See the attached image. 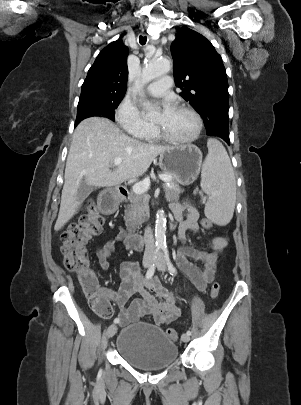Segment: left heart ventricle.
Wrapping results in <instances>:
<instances>
[{
  "mask_svg": "<svg viewBox=\"0 0 301 405\" xmlns=\"http://www.w3.org/2000/svg\"><path fill=\"white\" fill-rule=\"evenodd\" d=\"M154 123L160 125L168 134L178 138L190 136L196 125L194 118L189 113L178 109L169 113H158Z\"/></svg>",
  "mask_w": 301,
  "mask_h": 405,
  "instance_id": "1",
  "label": "left heart ventricle"
}]
</instances>
